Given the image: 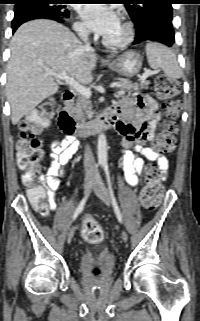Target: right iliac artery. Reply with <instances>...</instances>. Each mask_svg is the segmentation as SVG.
Instances as JSON below:
<instances>
[{
    "label": "right iliac artery",
    "instance_id": "1",
    "mask_svg": "<svg viewBox=\"0 0 200 321\" xmlns=\"http://www.w3.org/2000/svg\"><path fill=\"white\" fill-rule=\"evenodd\" d=\"M87 198H88V195H86V196L81 200V202L79 203L76 211H75L74 214H73L72 221H74V220L78 217V215L82 212V210H83V208H84V206H85V203H86V201H87Z\"/></svg>",
    "mask_w": 200,
    "mask_h": 321
}]
</instances>
